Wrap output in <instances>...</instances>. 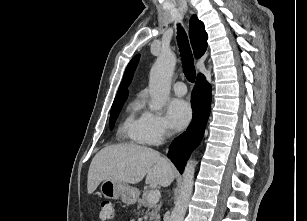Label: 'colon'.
I'll return each instance as SVG.
<instances>
[{
	"label": "colon",
	"instance_id": "colon-1",
	"mask_svg": "<svg viewBox=\"0 0 307 221\" xmlns=\"http://www.w3.org/2000/svg\"><path fill=\"white\" fill-rule=\"evenodd\" d=\"M116 216L114 204L111 201H102L100 205L99 218L101 221L114 219Z\"/></svg>",
	"mask_w": 307,
	"mask_h": 221
}]
</instances>
